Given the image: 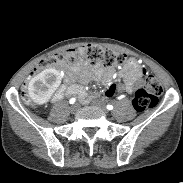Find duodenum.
I'll list each match as a JSON object with an SVG mask.
<instances>
[{
	"label": "duodenum",
	"instance_id": "duodenum-1",
	"mask_svg": "<svg viewBox=\"0 0 183 183\" xmlns=\"http://www.w3.org/2000/svg\"><path fill=\"white\" fill-rule=\"evenodd\" d=\"M68 94L73 95L75 94L76 96H79L80 100H84L85 104H91L92 103V98L88 97V92L83 91L81 87H70L68 89Z\"/></svg>",
	"mask_w": 183,
	"mask_h": 183
}]
</instances>
